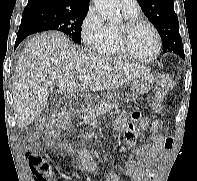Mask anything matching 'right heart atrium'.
<instances>
[{
    "label": "right heart atrium",
    "mask_w": 197,
    "mask_h": 181,
    "mask_svg": "<svg viewBox=\"0 0 197 181\" xmlns=\"http://www.w3.org/2000/svg\"><path fill=\"white\" fill-rule=\"evenodd\" d=\"M108 26L96 8L90 7L81 24V38L84 44L98 50L105 42Z\"/></svg>",
    "instance_id": "obj_1"
}]
</instances>
